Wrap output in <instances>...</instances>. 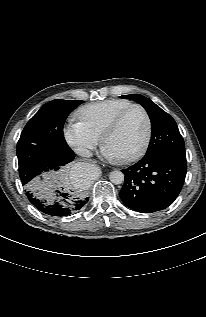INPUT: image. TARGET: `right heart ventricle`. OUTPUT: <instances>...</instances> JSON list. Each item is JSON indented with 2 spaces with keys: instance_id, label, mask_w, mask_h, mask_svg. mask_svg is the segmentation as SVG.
<instances>
[{
  "instance_id": "1",
  "label": "right heart ventricle",
  "mask_w": 206,
  "mask_h": 317,
  "mask_svg": "<svg viewBox=\"0 0 206 317\" xmlns=\"http://www.w3.org/2000/svg\"><path fill=\"white\" fill-rule=\"evenodd\" d=\"M130 105L128 100L108 99L83 106L77 115L92 133L100 137L109 122Z\"/></svg>"
}]
</instances>
